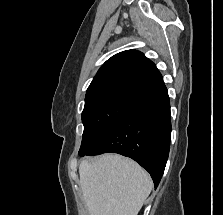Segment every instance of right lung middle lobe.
Returning a JSON list of instances; mask_svg holds the SVG:
<instances>
[{
	"instance_id": "obj_1",
	"label": "right lung middle lobe",
	"mask_w": 223,
	"mask_h": 215,
	"mask_svg": "<svg viewBox=\"0 0 223 215\" xmlns=\"http://www.w3.org/2000/svg\"><path fill=\"white\" fill-rule=\"evenodd\" d=\"M143 98L140 94L117 90L86 100L82 112L84 132L79 155L91 150Z\"/></svg>"
}]
</instances>
